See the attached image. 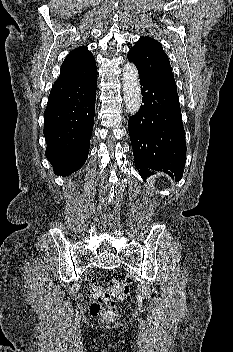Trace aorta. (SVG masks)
Wrapping results in <instances>:
<instances>
[{"mask_svg":"<svg viewBox=\"0 0 233 352\" xmlns=\"http://www.w3.org/2000/svg\"><path fill=\"white\" fill-rule=\"evenodd\" d=\"M122 82L126 110L130 114H135L141 106V90L138 71L134 64L127 63L124 65Z\"/></svg>","mask_w":233,"mask_h":352,"instance_id":"1","label":"aorta"}]
</instances>
